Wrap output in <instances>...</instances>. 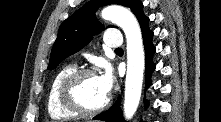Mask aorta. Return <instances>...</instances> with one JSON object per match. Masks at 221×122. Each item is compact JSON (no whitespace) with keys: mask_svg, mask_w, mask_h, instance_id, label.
<instances>
[{"mask_svg":"<svg viewBox=\"0 0 221 122\" xmlns=\"http://www.w3.org/2000/svg\"><path fill=\"white\" fill-rule=\"evenodd\" d=\"M102 17L121 27L126 36L127 74L124 117L126 120H130L139 105L143 82L145 58L141 30L135 16L122 6L106 7L102 11Z\"/></svg>","mask_w":221,"mask_h":122,"instance_id":"762f6f07","label":"aorta"}]
</instances>
